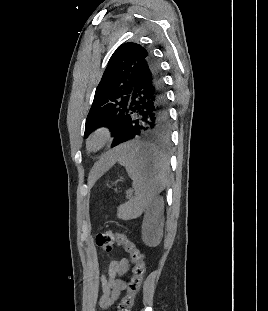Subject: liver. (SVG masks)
<instances>
[{"label": "liver", "mask_w": 268, "mask_h": 311, "mask_svg": "<svg viewBox=\"0 0 268 311\" xmlns=\"http://www.w3.org/2000/svg\"><path fill=\"white\" fill-rule=\"evenodd\" d=\"M121 147L116 148L107 152L95 165L92 169V175L97 177L100 174L106 172L110 167H112L115 162L118 160L119 150Z\"/></svg>", "instance_id": "6515ba94"}]
</instances>
